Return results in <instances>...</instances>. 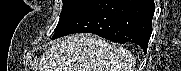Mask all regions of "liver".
<instances>
[{"instance_id": "obj_1", "label": "liver", "mask_w": 181, "mask_h": 71, "mask_svg": "<svg viewBox=\"0 0 181 71\" xmlns=\"http://www.w3.org/2000/svg\"><path fill=\"white\" fill-rule=\"evenodd\" d=\"M132 54L92 34L69 35L54 41L36 71H133Z\"/></svg>"}]
</instances>
